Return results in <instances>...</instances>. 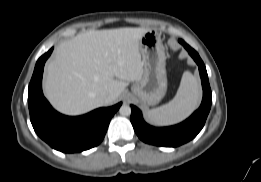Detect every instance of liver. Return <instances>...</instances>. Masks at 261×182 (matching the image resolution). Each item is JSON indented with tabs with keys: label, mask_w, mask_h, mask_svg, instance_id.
I'll list each match as a JSON object with an SVG mask.
<instances>
[{
	"label": "liver",
	"mask_w": 261,
	"mask_h": 182,
	"mask_svg": "<svg viewBox=\"0 0 261 182\" xmlns=\"http://www.w3.org/2000/svg\"><path fill=\"white\" fill-rule=\"evenodd\" d=\"M148 30H90L61 43L46 67L47 99L68 115L115 103L130 81L143 76L139 41Z\"/></svg>",
	"instance_id": "6515ba94"
}]
</instances>
